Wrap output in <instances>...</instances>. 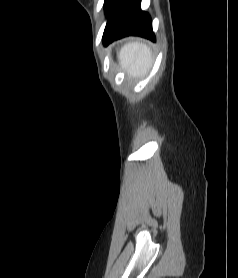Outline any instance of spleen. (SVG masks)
<instances>
[{
    "mask_svg": "<svg viewBox=\"0 0 238 278\" xmlns=\"http://www.w3.org/2000/svg\"><path fill=\"white\" fill-rule=\"evenodd\" d=\"M118 58L121 68L126 69L132 77L145 76L154 62L150 48L139 41L124 45L118 54Z\"/></svg>",
    "mask_w": 238,
    "mask_h": 278,
    "instance_id": "spleen-1",
    "label": "spleen"
}]
</instances>
